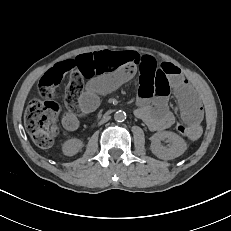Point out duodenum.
Instances as JSON below:
<instances>
[{"instance_id":"410a0bca","label":"duodenum","mask_w":231,"mask_h":231,"mask_svg":"<svg viewBox=\"0 0 231 231\" xmlns=\"http://www.w3.org/2000/svg\"><path fill=\"white\" fill-rule=\"evenodd\" d=\"M112 111L111 110H108L107 112H106V114H110Z\"/></svg>"}]
</instances>
